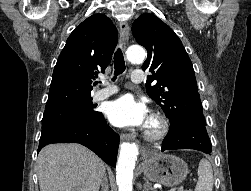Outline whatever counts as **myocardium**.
<instances>
[{
  "mask_svg": "<svg viewBox=\"0 0 251 191\" xmlns=\"http://www.w3.org/2000/svg\"><path fill=\"white\" fill-rule=\"evenodd\" d=\"M168 130L169 123L167 119L160 115H153L147 123L144 138L150 142L159 141L167 135Z\"/></svg>",
  "mask_w": 251,
  "mask_h": 191,
  "instance_id": "myocardium-1",
  "label": "myocardium"
}]
</instances>
